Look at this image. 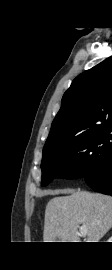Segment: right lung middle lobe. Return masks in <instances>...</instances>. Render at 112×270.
Masks as SVG:
<instances>
[{
  "instance_id": "obj_1",
  "label": "right lung middle lobe",
  "mask_w": 112,
  "mask_h": 270,
  "mask_svg": "<svg viewBox=\"0 0 112 270\" xmlns=\"http://www.w3.org/2000/svg\"><path fill=\"white\" fill-rule=\"evenodd\" d=\"M112 147V125L87 132L70 141L43 149L42 186L56 177H84L99 168Z\"/></svg>"
}]
</instances>
